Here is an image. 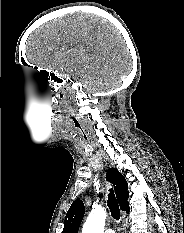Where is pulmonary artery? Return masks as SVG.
Segmentation results:
<instances>
[{
    "label": "pulmonary artery",
    "instance_id": "1",
    "mask_svg": "<svg viewBox=\"0 0 184 233\" xmlns=\"http://www.w3.org/2000/svg\"><path fill=\"white\" fill-rule=\"evenodd\" d=\"M105 233H115V231L113 229H107Z\"/></svg>",
    "mask_w": 184,
    "mask_h": 233
}]
</instances>
